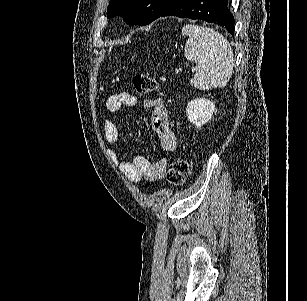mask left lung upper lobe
I'll return each mask as SVG.
<instances>
[{"label":"left lung upper lobe","instance_id":"left-lung-upper-lobe-1","mask_svg":"<svg viewBox=\"0 0 307 301\" xmlns=\"http://www.w3.org/2000/svg\"><path fill=\"white\" fill-rule=\"evenodd\" d=\"M175 0H111L107 16H122L128 25H147L157 19Z\"/></svg>","mask_w":307,"mask_h":301}]
</instances>
